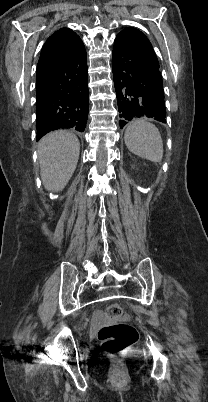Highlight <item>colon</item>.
<instances>
[{"label":"colon","instance_id":"obj_1","mask_svg":"<svg viewBox=\"0 0 208 402\" xmlns=\"http://www.w3.org/2000/svg\"><path fill=\"white\" fill-rule=\"evenodd\" d=\"M110 318L108 324H101L98 338L103 342L104 352L118 358L139 337V330L135 324L117 323L122 315V308L109 307L106 312Z\"/></svg>","mask_w":208,"mask_h":402}]
</instances>
